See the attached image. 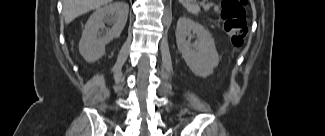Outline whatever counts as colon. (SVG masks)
Returning <instances> with one entry per match:
<instances>
[{
    "mask_svg": "<svg viewBox=\"0 0 325 136\" xmlns=\"http://www.w3.org/2000/svg\"><path fill=\"white\" fill-rule=\"evenodd\" d=\"M247 0H222L223 28L230 36L235 47H241L248 35V26L245 19Z\"/></svg>",
    "mask_w": 325,
    "mask_h": 136,
    "instance_id": "5ec220e1",
    "label": "colon"
}]
</instances>
